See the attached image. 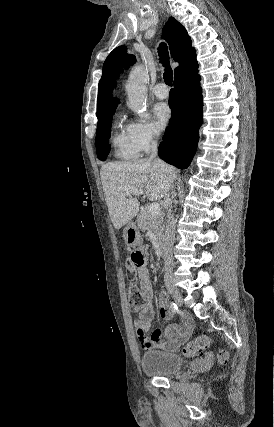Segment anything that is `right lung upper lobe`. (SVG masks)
Returning a JSON list of instances; mask_svg holds the SVG:
<instances>
[{"label": "right lung upper lobe", "instance_id": "obj_1", "mask_svg": "<svg viewBox=\"0 0 274 427\" xmlns=\"http://www.w3.org/2000/svg\"><path fill=\"white\" fill-rule=\"evenodd\" d=\"M167 40L173 59L179 63L174 74L185 71L190 66L197 64L195 49L191 46V39L186 29L173 17L169 18L162 32ZM134 55L127 54L125 46L115 48L106 58L103 65V73L99 82L97 113L117 105L118 99L112 97V82L119 72L135 63Z\"/></svg>", "mask_w": 274, "mask_h": 427}]
</instances>
